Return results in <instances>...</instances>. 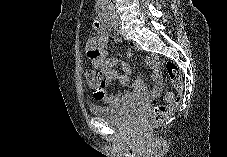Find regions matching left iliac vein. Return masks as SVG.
I'll return each instance as SVG.
<instances>
[{
	"instance_id": "obj_1",
	"label": "left iliac vein",
	"mask_w": 227,
	"mask_h": 157,
	"mask_svg": "<svg viewBox=\"0 0 227 157\" xmlns=\"http://www.w3.org/2000/svg\"><path fill=\"white\" fill-rule=\"evenodd\" d=\"M118 32L121 34L122 32H121V29H120V27H119V30H118Z\"/></svg>"
}]
</instances>
